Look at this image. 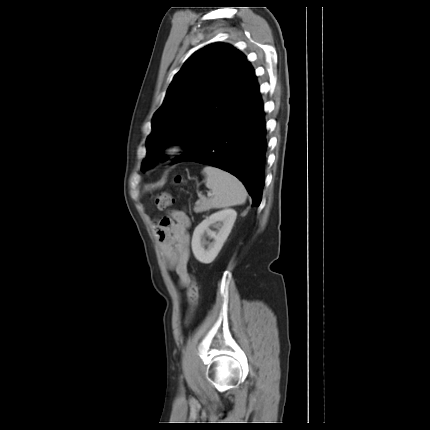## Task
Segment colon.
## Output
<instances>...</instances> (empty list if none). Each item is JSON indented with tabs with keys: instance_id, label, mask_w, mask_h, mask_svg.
I'll return each mask as SVG.
<instances>
[{
	"instance_id": "colon-1",
	"label": "colon",
	"mask_w": 430,
	"mask_h": 430,
	"mask_svg": "<svg viewBox=\"0 0 430 430\" xmlns=\"http://www.w3.org/2000/svg\"><path fill=\"white\" fill-rule=\"evenodd\" d=\"M175 182L181 183L182 178L180 176L176 177ZM173 203H174L173 196L167 192L160 193L155 198L156 207L160 211L167 210L168 208H170L172 206ZM187 297H188L189 309H188V314L186 317V323H189L192 316H193V313H194V311L198 305V299H199L198 283H197V280L195 279V277H193V276L190 277V281H189L188 289H187Z\"/></svg>"
}]
</instances>
